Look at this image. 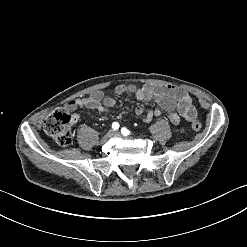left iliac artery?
<instances>
[{"label":"left iliac artery","instance_id":"44dca946","mask_svg":"<svg viewBox=\"0 0 247 247\" xmlns=\"http://www.w3.org/2000/svg\"><path fill=\"white\" fill-rule=\"evenodd\" d=\"M121 133L124 135V136H127L130 134V131L126 128V127H123L121 129Z\"/></svg>","mask_w":247,"mask_h":247}]
</instances>
